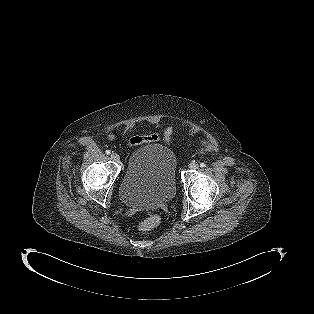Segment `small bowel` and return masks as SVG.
Returning a JSON list of instances; mask_svg holds the SVG:
<instances>
[{
    "instance_id": "1",
    "label": "small bowel",
    "mask_w": 314,
    "mask_h": 314,
    "mask_svg": "<svg viewBox=\"0 0 314 314\" xmlns=\"http://www.w3.org/2000/svg\"><path fill=\"white\" fill-rule=\"evenodd\" d=\"M172 133L173 127L168 126L164 129L161 135L157 133H149L143 136H134L129 140L128 146L134 147L141 143H154L156 141H159L160 139H162L166 143H169L171 140Z\"/></svg>"
}]
</instances>
